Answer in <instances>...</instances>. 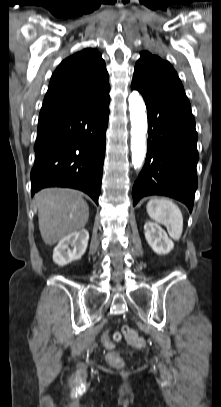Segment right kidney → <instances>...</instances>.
Masks as SVG:
<instances>
[{
  "instance_id": "1",
  "label": "right kidney",
  "mask_w": 221,
  "mask_h": 407,
  "mask_svg": "<svg viewBox=\"0 0 221 407\" xmlns=\"http://www.w3.org/2000/svg\"><path fill=\"white\" fill-rule=\"evenodd\" d=\"M88 239L89 233L86 229H81L64 237L54 248L53 261L59 266H64L74 260H79L86 251Z\"/></svg>"
}]
</instances>
